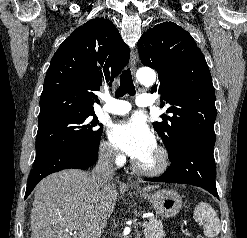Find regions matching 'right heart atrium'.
<instances>
[{"label": "right heart atrium", "instance_id": "right-heart-atrium-1", "mask_svg": "<svg viewBox=\"0 0 247 238\" xmlns=\"http://www.w3.org/2000/svg\"><path fill=\"white\" fill-rule=\"evenodd\" d=\"M99 155L102 161L109 164L122 165V163L124 162V157L108 141L101 142L99 148Z\"/></svg>", "mask_w": 247, "mask_h": 238}]
</instances>
